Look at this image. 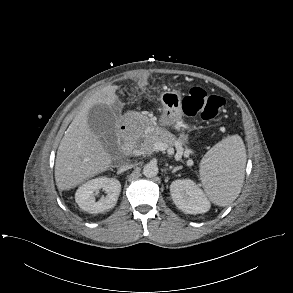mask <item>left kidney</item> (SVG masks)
Masks as SVG:
<instances>
[{
	"label": "left kidney",
	"mask_w": 293,
	"mask_h": 293,
	"mask_svg": "<svg viewBox=\"0 0 293 293\" xmlns=\"http://www.w3.org/2000/svg\"><path fill=\"white\" fill-rule=\"evenodd\" d=\"M170 193L176 207L185 213L202 214L211 207L205 193L190 179L173 181L170 185Z\"/></svg>",
	"instance_id": "obj_1"
}]
</instances>
